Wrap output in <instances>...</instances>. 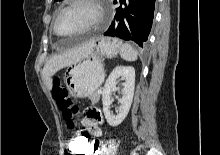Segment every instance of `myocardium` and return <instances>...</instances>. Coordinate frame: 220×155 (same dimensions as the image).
Instances as JSON below:
<instances>
[{
    "mask_svg": "<svg viewBox=\"0 0 220 155\" xmlns=\"http://www.w3.org/2000/svg\"><path fill=\"white\" fill-rule=\"evenodd\" d=\"M89 4L91 5L96 12L95 18L89 23L87 24L85 27H83L81 30L69 35V36H75V35H80V34H84L94 28H96L97 26H99L105 19V6L102 0H69L65 5H63L61 8H59V10L56 12L53 22H52V31L55 35L59 36V37H64L62 35H60L57 30H56V22L57 19L59 17V15L74 7L75 5L78 4Z\"/></svg>",
    "mask_w": 220,
    "mask_h": 155,
    "instance_id": "1",
    "label": "myocardium"
}]
</instances>
